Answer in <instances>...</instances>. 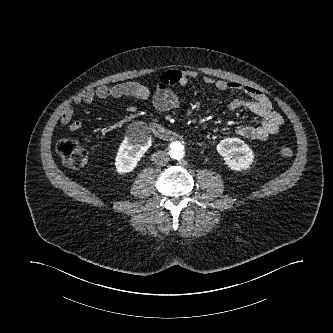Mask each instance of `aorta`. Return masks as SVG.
Here are the masks:
<instances>
[{
    "mask_svg": "<svg viewBox=\"0 0 333 333\" xmlns=\"http://www.w3.org/2000/svg\"><path fill=\"white\" fill-rule=\"evenodd\" d=\"M171 151L173 158L181 160L184 157L185 146L183 145V143L175 142L171 145Z\"/></svg>",
    "mask_w": 333,
    "mask_h": 333,
    "instance_id": "1",
    "label": "aorta"
}]
</instances>
